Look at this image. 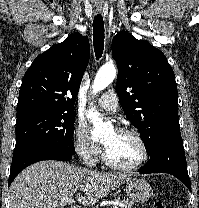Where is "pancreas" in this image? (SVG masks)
<instances>
[{
	"label": "pancreas",
	"mask_w": 199,
	"mask_h": 208,
	"mask_svg": "<svg viewBox=\"0 0 199 208\" xmlns=\"http://www.w3.org/2000/svg\"><path fill=\"white\" fill-rule=\"evenodd\" d=\"M121 204L123 205V208H132L133 202L129 200H122Z\"/></svg>",
	"instance_id": "cf45deb5"
}]
</instances>
